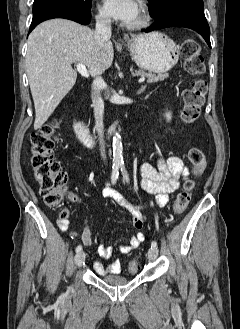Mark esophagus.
I'll use <instances>...</instances> for the list:
<instances>
[{
    "mask_svg": "<svg viewBox=\"0 0 240 329\" xmlns=\"http://www.w3.org/2000/svg\"><path fill=\"white\" fill-rule=\"evenodd\" d=\"M127 41V38H124V40H122V42H126Z\"/></svg>",
    "mask_w": 240,
    "mask_h": 329,
    "instance_id": "34e87169",
    "label": "esophagus"
}]
</instances>
